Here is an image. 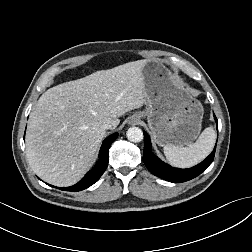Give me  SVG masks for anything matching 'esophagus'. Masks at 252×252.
<instances>
[{"mask_svg":"<svg viewBox=\"0 0 252 252\" xmlns=\"http://www.w3.org/2000/svg\"><path fill=\"white\" fill-rule=\"evenodd\" d=\"M138 123H139V120H138V119L135 118V119L132 120V124H133V125H136V124H138Z\"/></svg>","mask_w":252,"mask_h":252,"instance_id":"obj_1","label":"esophagus"}]
</instances>
